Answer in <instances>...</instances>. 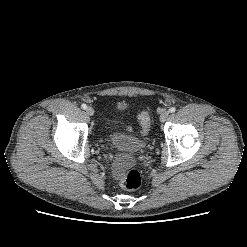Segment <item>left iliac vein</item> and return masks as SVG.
<instances>
[{
  "instance_id": "1",
  "label": "left iliac vein",
  "mask_w": 247,
  "mask_h": 247,
  "mask_svg": "<svg viewBox=\"0 0 247 247\" xmlns=\"http://www.w3.org/2000/svg\"><path fill=\"white\" fill-rule=\"evenodd\" d=\"M168 116H169V111L162 112L160 115V121L164 122L168 118Z\"/></svg>"
}]
</instances>
